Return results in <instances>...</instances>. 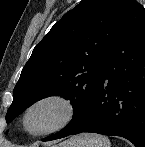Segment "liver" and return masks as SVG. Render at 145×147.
Instances as JSON below:
<instances>
[{"instance_id": "6515ba94", "label": "liver", "mask_w": 145, "mask_h": 147, "mask_svg": "<svg viewBox=\"0 0 145 147\" xmlns=\"http://www.w3.org/2000/svg\"><path fill=\"white\" fill-rule=\"evenodd\" d=\"M73 140H74V138L70 139L67 142H64V143L60 144L59 146L70 147L69 145L72 143Z\"/></svg>"}]
</instances>
